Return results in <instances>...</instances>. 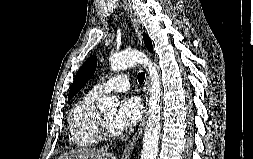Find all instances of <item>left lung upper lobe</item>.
I'll return each instance as SVG.
<instances>
[{"label": "left lung upper lobe", "mask_w": 253, "mask_h": 159, "mask_svg": "<svg viewBox=\"0 0 253 159\" xmlns=\"http://www.w3.org/2000/svg\"><path fill=\"white\" fill-rule=\"evenodd\" d=\"M144 43L147 49L152 52V42L147 34H143ZM97 65V57L91 56L86 62L81 66L78 70L74 82L70 87V91L68 94V101L87 83V81L93 76Z\"/></svg>", "instance_id": "obj_1"}]
</instances>
